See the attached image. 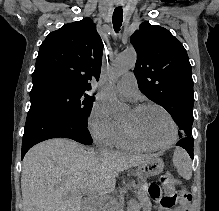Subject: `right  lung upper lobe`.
<instances>
[{
	"label": "right lung upper lobe",
	"instance_id": "obj_1",
	"mask_svg": "<svg viewBox=\"0 0 219 211\" xmlns=\"http://www.w3.org/2000/svg\"><path fill=\"white\" fill-rule=\"evenodd\" d=\"M102 53L103 43L91 19L65 24L41 44L31 92L50 84L90 90V81L100 76Z\"/></svg>",
	"mask_w": 219,
	"mask_h": 211
}]
</instances>
